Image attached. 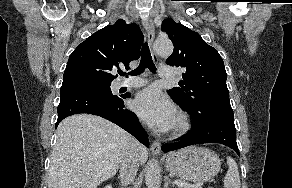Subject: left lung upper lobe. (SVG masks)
<instances>
[{
    "label": "left lung upper lobe",
    "instance_id": "5c2ea615",
    "mask_svg": "<svg viewBox=\"0 0 292 188\" xmlns=\"http://www.w3.org/2000/svg\"><path fill=\"white\" fill-rule=\"evenodd\" d=\"M162 29L174 45L166 63L186 70L180 87L168 90V94L190 114L193 124H200L215 111L232 110L219 53L198 33L171 18L162 22Z\"/></svg>",
    "mask_w": 292,
    "mask_h": 188
}]
</instances>
